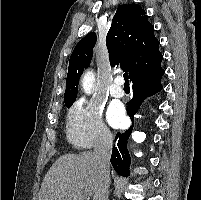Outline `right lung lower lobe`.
I'll return each mask as SVG.
<instances>
[{
    "instance_id": "right-lung-lower-lobe-1",
    "label": "right lung lower lobe",
    "mask_w": 201,
    "mask_h": 200,
    "mask_svg": "<svg viewBox=\"0 0 201 200\" xmlns=\"http://www.w3.org/2000/svg\"><path fill=\"white\" fill-rule=\"evenodd\" d=\"M163 74L164 70L160 64L132 80L133 97L128 104L127 112L133 122L134 115L137 113L143 100L162 90L161 78ZM133 125L124 133H117L115 137L116 145L113 146L110 161L115 171L121 176H129L130 173L131 158L127 149V140L133 130Z\"/></svg>"
}]
</instances>
